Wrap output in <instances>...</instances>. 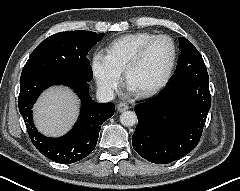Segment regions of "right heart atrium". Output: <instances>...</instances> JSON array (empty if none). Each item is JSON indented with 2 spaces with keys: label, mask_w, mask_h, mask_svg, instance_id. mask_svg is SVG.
<instances>
[{
  "label": "right heart atrium",
  "mask_w": 240,
  "mask_h": 191,
  "mask_svg": "<svg viewBox=\"0 0 240 191\" xmlns=\"http://www.w3.org/2000/svg\"><path fill=\"white\" fill-rule=\"evenodd\" d=\"M91 71L98 88L107 95H112L119 87L122 72L117 69L109 57L96 52L91 59Z\"/></svg>",
  "instance_id": "1"
}]
</instances>
